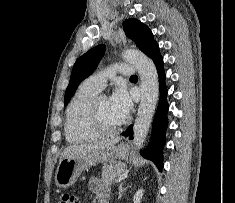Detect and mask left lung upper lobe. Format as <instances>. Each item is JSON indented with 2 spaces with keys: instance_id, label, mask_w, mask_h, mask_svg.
<instances>
[{
  "instance_id": "1",
  "label": "left lung upper lobe",
  "mask_w": 235,
  "mask_h": 203,
  "mask_svg": "<svg viewBox=\"0 0 235 203\" xmlns=\"http://www.w3.org/2000/svg\"><path fill=\"white\" fill-rule=\"evenodd\" d=\"M123 28L125 34L131 38L145 54L156 43L151 30L137 19H126V21L123 22ZM105 49L106 47L103 44L95 46L77 59L65 92V106L74 95L77 86L94 72L104 55Z\"/></svg>"
}]
</instances>
